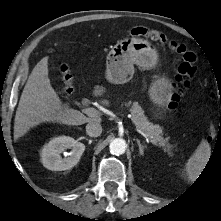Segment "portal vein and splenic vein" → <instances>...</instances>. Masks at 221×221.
Returning <instances> with one entry per match:
<instances>
[{"label":"portal vein and splenic vein","instance_id":"18ae733b","mask_svg":"<svg viewBox=\"0 0 221 221\" xmlns=\"http://www.w3.org/2000/svg\"><path fill=\"white\" fill-rule=\"evenodd\" d=\"M84 112L85 114H87L89 117H98V114L99 112L95 109V108H92V107H88V108H85L84 109ZM141 134L146 137V138H149L150 139V142L153 144V145H157V142L155 141V139L153 138V136L147 134V133H144L143 131L141 132Z\"/></svg>","mask_w":221,"mask_h":221}]
</instances>
